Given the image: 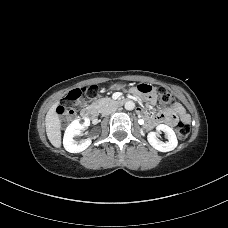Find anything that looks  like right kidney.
I'll use <instances>...</instances> for the list:
<instances>
[{
	"instance_id": "1",
	"label": "right kidney",
	"mask_w": 228,
	"mask_h": 228,
	"mask_svg": "<svg viewBox=\"0 0 228 228\" xmlns=\"http://www.w3.org/2000/svg\"><path fill=\"white\" fill-rule=\"evenodd\" d=\"M89 125L90 119L86 117L83 118V122H81V119H76L68 125L63 138V145L66 151L70 153H79L90 146V139H86L82 143H78L73 139L75 136L80 135L81 131Z\"/></svg>"
}]
</instances>
